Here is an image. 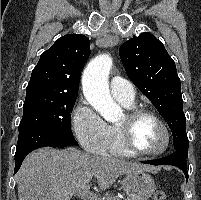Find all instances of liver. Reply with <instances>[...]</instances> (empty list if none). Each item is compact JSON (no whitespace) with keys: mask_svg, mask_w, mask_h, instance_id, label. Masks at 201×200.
I'll return each mask as SVG.
<instances>
[{"mask_svg":"<svg viewBox=\"0 0 201 200\" xmlns=\"http://www.w3.org/2000/svg\"><path fill=\"white\" fill-rule=\"evenodd\" d=\"M150 167L111 157L92 156L75 148H40L24 160L18 178L19 200H70L96 179L108 189L122 174Z\"/></svg>","mask_w":201,"mask_h":200,"instance_id":"liver-1","label":"liver"}]
</instances>
